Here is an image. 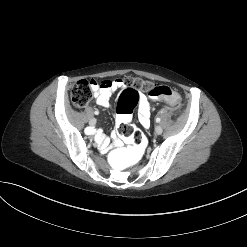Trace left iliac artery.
I'll list each match as a JSON object with an SVG mask.
<instances>
[{"instance_id": "44dca946", "label": "left iliac artery", "mask_w": 247, "mask_h": 247, "mask_svg": "<svg viewBox=\"0 0 247 247\" xmlns=\"http://www.w3.org/2000/svg\"><path fill=\"white\" fill-rule=\"evenodd\" d=\"M161 121L160 118H156V122L159 123Z\"/></svg>"}]
</instances>
